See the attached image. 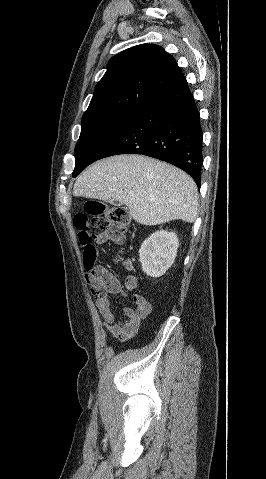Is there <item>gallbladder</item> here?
<instances>
[{
    "mask_svg": "<svg viewBox=\"0 0 266 479\" xmlns=\"http://www.w3.org/2000/svg\"><path fill=\"white\" fill-rule=\"evenodd\" d=\"M109 202H110L111 204L115 205V206H120V205H122L121 202L116 201V200H113V199H110Z\"/></svg>",
    "mask_w": 266,
    "mask_h": 479,
    "instance_id": "1",
    "label": "gallbladder"
}]
</instances>
